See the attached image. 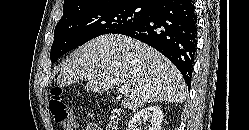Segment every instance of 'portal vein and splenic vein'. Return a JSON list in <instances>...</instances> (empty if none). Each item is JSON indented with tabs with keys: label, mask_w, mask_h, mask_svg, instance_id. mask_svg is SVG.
Masks as SVG:
<instances>
[{
	"label": "portal vein and splenic vein",
	"mask_w": 249,
	"mask_h": 130,
	"mask_svg": "<svg viewBox=\"0 0 249 130\" xmlns=\"http://www.w3.org/2000/svg\"><path fill=\"white\" fill-rule=\"evenodd\" d=\"M127 87H125V86H121L120 88H119V92L121 93V94H123V93H127Z\"/></svg>",
	"instance_id": "1"
}]
</instances>
